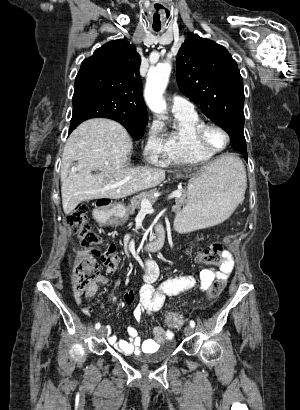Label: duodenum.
Returning a JSON list of instances; mask_svg holds the SVG:
<instances>
[{"label":"duodenum","instance_id":"obj_1","mask_svg":"<svg viewBox=\"0 0 300 410\" xmlns=\"http://www.w3.org/2000/svg\"><path fill=\"white\" fill-rule=\"evenodd\" d=\"M107 206H105V205H102V206H99L98 208H97V210H96V215L98 216L97 217V220L99 221V222H101V223H107L108 221H109V215L107 214ZM161 242H159V241H153V242H151V243H149L148 245H147V249L149 250V251H151V252H154V251H157V250H159L160 249V247H161Z\"/></svg>","mask_w":300,"mask_h":410}]
</instances>
